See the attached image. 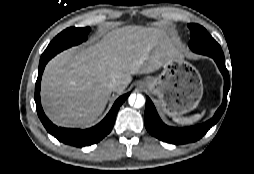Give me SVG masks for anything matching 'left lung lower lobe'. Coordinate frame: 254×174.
Returning <instances> with one entry per match:
<instances>
[{
  "mask_svg": "<svg viewBox=\"0 0 254 174\" xmlns=\"http://www.w3.org/2000/svg\"><path fill=\"white\" fill-rule=\"evenodd\" d=\"M212 57L218 68L220 69L223 77H224V96L223 102L220 108L216 111L213 118L208 120L207 122L192 126V127H184V128H174L165 125L160 117L157 114V111L152 103V101L147 98L145 114H144V123L147 131L154 137L158 138L167 143H172L176 145L195 142L202 138L206 134V132L218 122L220 117L222 116L226 103H227V93L230 88V80L229 73L225 66L224 57L219 56H210Z\"/></svg>",
  "mask_w": 254,
  "mask_h": 174,
  "instance_id": "0a47b994",
  "label": "left lung lower lobe"
}]
</instances>
